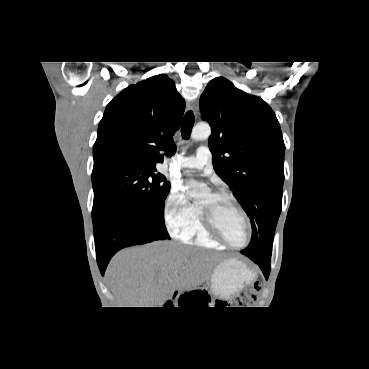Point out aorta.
I'll return each instance as SVG.
<instances>
[{
    "instance_id": "762f6f07",
    "label": "aorta",
    "mask_w": 369,
    "mask_h": 369,
    "mask_svg": "<svg viewBox=\"0 0 369 369\" xmlns=\"http://www.w3.org/2000/svg\"><path fill=\"white\" fill-rule=\"evenodd\" d=\"M211 134V128L208 124H197L191 133V138L195 141L205 140ZM208 187L204 183L195 180L189 181V190L187 194L193 198H200L206 194Z\"/></svg>"
}]
</instances>
